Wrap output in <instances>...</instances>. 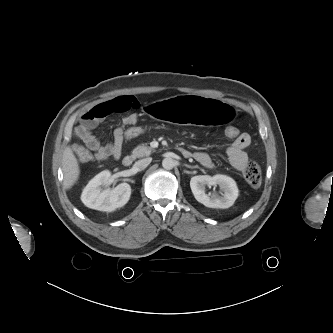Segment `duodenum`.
I'll return each mask as SVG.
<instances>
[{
  "mask_svg": "<svg viewBox=\"0 0 333 333\" xmlns=\"http://www.w3.org/2000/svg\"><path fill=\"white\" fill-rule=\"evenodd\" d=\"M181 152L184 156H190V153L185 149H181ZM122 163L126 167L130 166L133 163V157L132 156L124 157Z\"/></svg>",
  "mask_w": 333,
  "mask_h": 333,
  "instance_id": "1",
  "label": "duodenum"
}]
</instances>
